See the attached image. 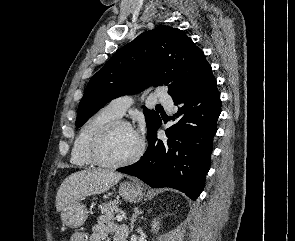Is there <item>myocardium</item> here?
<instances>
[{"label": "myocardium", "instance_id": "obj_1", "mask_svg": "<svg viewBox=\"0 0 295 241\" xmlns=\"http://www.w3.org/2000/svg\"><path fill=\"white\" fill-rule=\"evenodd\" d=\"M120 127H126L133 130L130 123L118 118L105 125L92 141L90 147V155L97 165L105 168H121L136 163L143 156L145 151V142L138 135L139 147L136 153L130 158L116 162L109 160L105 156L104 150L110 136L116 129Z\"/></svg>", "mask_w": 295, "mask_h": 241}]
</instances>
